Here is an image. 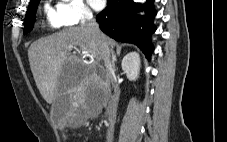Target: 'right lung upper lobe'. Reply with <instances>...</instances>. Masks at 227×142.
Masks as SVG:
<instances>
[{
    "label": "right lung upper lobe",
    "mask_w": 227,
    "mask_h": 142,
    "mask_svg": "<svg viewBox=\"0 0 227 142\" xmlns=\"http://www.w3.org/2000/svg\"><path fill=\"white\" fill-rule=\"evenodd\" d=\"M34 1H36V0H31V2H34ZM31 2H30V3H31Z\"/></svg>",
    "instance_id": "1"
}]
</instances>
